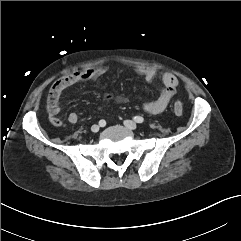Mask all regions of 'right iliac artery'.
<instances>
[{"instance_id": "obj_1", "label": "right iliac artery", "mask_w": 241, "mask_h": 241, "mask_svg": "<svg viewBox=\"0 0 241 241\" xmlns=\"http://www.w3.org/2000/svg\"><path fill=\"white\" fill-rule=\"evenodd\" d=\"M99 125H100L101 127H104V126L106 125L105 120H100V121H99Z\"/></svg>"}]
</instances>
